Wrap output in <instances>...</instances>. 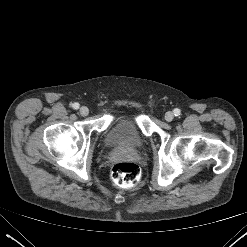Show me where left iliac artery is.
I'll list each match as a JSON object with an SVG mask.
<instances>
[{
    "label": "left iliac artery",
    "instance_id": "44dca946",
    "mask_svg": "<svg viewBox=\"0 0 247 247\" xmlns=\"http://www.w3.org/2000/svg\"><path fill=\"white\" fill-rule=\"evenodd\" d=\"M173 112H174V115H175V116H179L180 113H181L180 109H178V108L174 109Z\"/></svg>",
    "mask_w": 247,
    "mask_h": 247
}]
</instances>
